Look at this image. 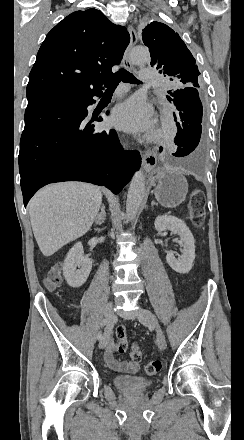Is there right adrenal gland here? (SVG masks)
<instances>
[{"label": "right adrenal gland", "instance_id": "right-adrenal-gland-1", "mask_svg": "<svg viewBox=\"0 0 244 440\" xmlns=\"http://www.w3.org/2000/svg\"><path fill=\"white\" fill-rule=\"evenodd\" d=\"M99 216H103V220L99 224V226H101V224H104V220H106V212H105L104 204H101L100 212H98V214H96V220H97V218H99Z\"/></svg>", "mask_w": 244, "mask_h": 440}]
</instances>
